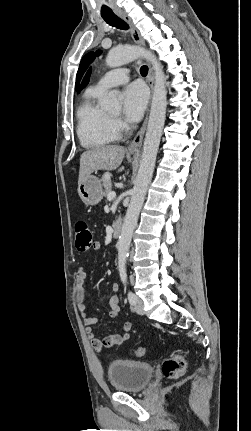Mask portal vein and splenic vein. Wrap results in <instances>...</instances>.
Returning <instances> with one entry per match:
<instances>
[{
  "label": "portal vein and splenic vein",
  "mask_w": 251,
  "mask_h": 431,
  "mask_svg": "<svg viewBox=\"0 0 251 431\" xmlns=\"http://www.w3.org/2000/svg\"><path fill=\"white\" fill-rule=\"evenodd\" d=\"M116 197V193L114 191L110 192L107 196L108 200H113Z\"/></svg>",
  "instance_id": "1"
}]
</instances>
